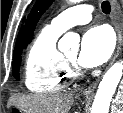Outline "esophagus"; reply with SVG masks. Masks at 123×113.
Instances as JSON below:
<instances>
[{
    "label": "esophagus",
    "instance_id": "esophagus-1",
    "mask_svg": "<svg viewBox=\"0 0 123 113\" xmlns=\"http://www.w3.org/2000/svg\"><path fill=\"white\" fill-rule=\"evenodd\" d=\"M110 3L112 7L113 25L117 34V44H116V49L113 54L112 60L110 62V65H111L115 61V59L118 57L121 51L123 36H122V30H121L120 20L118 16V10H119L118 2L117 0H110ZM99 81H100V78H98L96 81L90 84L86 89H84L83 94L86 96L92 95Z\"/></svg>",
    "mask_w": 123,
    "mask_h": 113
}]
</instances>
